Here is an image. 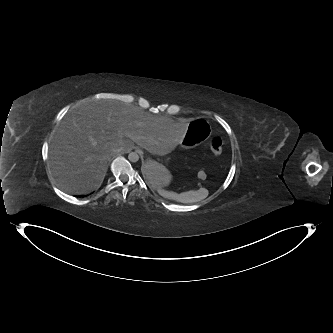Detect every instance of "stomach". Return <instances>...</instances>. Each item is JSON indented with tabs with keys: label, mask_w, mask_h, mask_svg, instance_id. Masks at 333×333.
<instances>
[{
	"label": "stomach",
	"mask_w": 333,
	"mask_h": 333,
	"mask_svg": "<svg viewBox=\"0 0 333 333\" xmlns=\"http://www.w3.org/2000/svg\"><path fill=\"white\" fill-rule=\"evenodd\" d=\"M212 127L210 123L203 119H197L189 125V131L180 140L183 148H193L210 138ZM145 182L153 188L165 189L172 185L174 177L167 166L159 161L152 160L145 164L143 169Z\"/></svg>",
	"instance_id": "obj_1"
}]
</instances>
